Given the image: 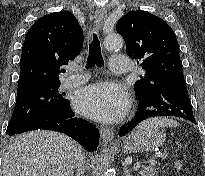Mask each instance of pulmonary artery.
Instances as JSON below:
<instances>
[{
	"label": "pulmonary artery",
	"mask_w": 205,
	"mask_h": 176,
	"mask_svg": "<svg viewBox=\"0 0 205 176\" xmlns=\"http://www.w3.org/2000/svg\"><path fill=\"white\" fill-rule=\"evenodd\" d=\"M111 70L117 74H125L129 70L130 60L126 55H114L111 57ZM75 70V68L73 69ZM88 80V74L74 75L66 79L65 88H72L85 83Z\"/></svg>",
	"instance_id": "1"
}]
</instances>
